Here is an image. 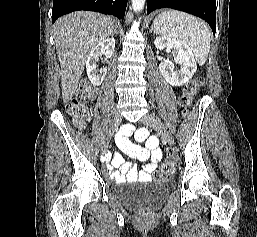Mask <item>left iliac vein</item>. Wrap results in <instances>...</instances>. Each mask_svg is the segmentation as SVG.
Masks as SVG:
<instances>
[{
  "label": "left iliac vein",
  "instance_id": "left-iliac-vein-1",
  "mask_svg": "<svg viewBox=\"0 0 257 237\" xmlns=\"http://www.w3.org/2000/svg\"><path fill=\"white\" fill-rule=\"evenodd\" d=\"M141 122L144 125L153 128L159 134V136L161 137L162 140L167 142L169 145H173V143H174L173 136L171 135V133L169 132L167 127L164 125V123L160 119H158L150 114H145L142 117Z\"/></svg>",
  "mask_w": 257,
  "mask_h": 237
}]
</instances>
